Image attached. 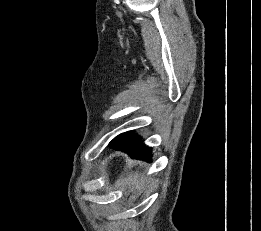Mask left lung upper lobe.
<instances>
[{
  "label": "left lung upper lobe",
  "instance_id": "obj_1",
  "mask_svg": "<svg viewBox=\"0 0 261 231\" xmlns=\"http://www.w3.org/2000/svg\"><path fill=\"white\" fill-rule=\"evenodd\" d=\"M128 138L141 140L140 136H138L137 134L132 133L131 131H129V132H125V133H122V134L118 135L110 143H116V142H118L120 140H124V139H128Z\"/></svg>",
  "mask_w": 261,
  "mask_h": 231
}]
</instances>
